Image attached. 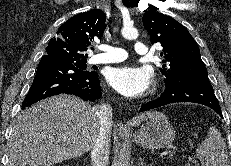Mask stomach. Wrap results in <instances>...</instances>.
I'll return each mask as SVG.
<instances>
[{
    "mask_svg": "<svg viewBox=\"0 0 231 166\" xmlns=\"http://www.w3.org/2000/svg\"><path fill=\"white\" fill-rule=\"evenodd\" d=\"M176 131L165 115L156 112L132 137L137 145L147 149H162L175 139Z\"/></svg>",
    "mask_w": 231,
    "mask_h": 166,
    "instance_id": "0dacf381",
    "label": "stomach"
}]
</instances>
